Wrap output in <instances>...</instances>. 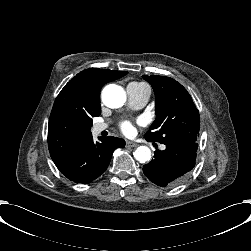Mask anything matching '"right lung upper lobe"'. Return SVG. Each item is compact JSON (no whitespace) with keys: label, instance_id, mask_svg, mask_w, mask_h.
Segmentation results:
<instances>
[{"label":"right lung upper lobe","instance_id":"1","mask_svg":"<svg viewBox=\"0 0 251 251\" xmlns=\"http://www.w3.org/2000/svg\"><path fill=\"white\" fill-rule=\"evenodd\" d=\"M127 73L90 68L64 86L49 118L48 147L53 161L66 156L92 136V118L101 114V87Z\"/></svg>","mask_w":251,"mask_h":251}]
</instances>
